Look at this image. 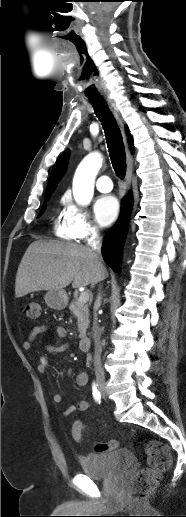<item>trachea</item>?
Listing matches in <instances>:
<instances>
[{
    "label": "trachea",
    "instance_id": "trachea-1",
    "mask_svg": "<svg viewBox=\"0 0 186 517\" xmlns=\"http://www.w3.org/2000/svg\"><path fill=\"white\" fill-rule=\"evenodd\" d=\"M87 97L103 126L113 169L116 175L123 179L126 174V154L120 129L106 101L100 95L88 94Z\"/></svg>",
    "mask_w": 186,
    "mask_h": 517
}]
</instances>
